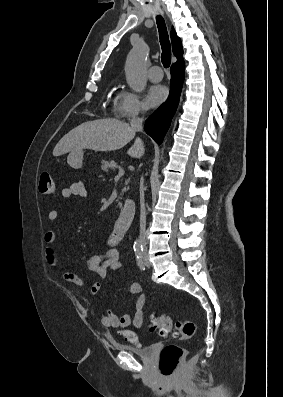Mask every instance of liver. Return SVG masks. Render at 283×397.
I'll return each mask as SVG.
<instances>
[{"label": "liver", "mask_w": 283, "mask_h": 397, "mask_svg": "<svg viewBox=\"0 0 283 397\" xmlns=\"http://www.w3.org/2000/svg\"><path fill=\"white\" fill-rule=\"evenodd\" d=\"M135 133L128 123L117 119L84 122L61 138L53 150V155L60 156L83 149L101 152L118 150L130 142ZM144 152L143 142L137 138L127 154L133 158H140Z\"/></svg>", "instance_id": "6515ba94"}]
</instances>
